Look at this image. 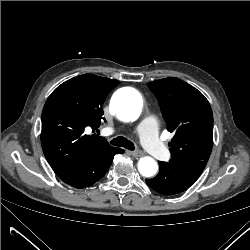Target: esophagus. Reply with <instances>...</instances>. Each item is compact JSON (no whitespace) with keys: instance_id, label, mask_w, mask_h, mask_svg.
<instances>
[{"instance_id":"obj_1","label":"esophagus","mask_w":250,"mask_h":250,"mask_svg":"<svg viewBox=\"0 0 250 250\" xmlns=\"http://www.w3.org/2000/svg\"><path fill=\"white\" fill-rule=\"evenodd\" d=\"M131 155L134 156L135 158H139L143 155L141 151H132Z\"/></svg>"}]
</instances>
